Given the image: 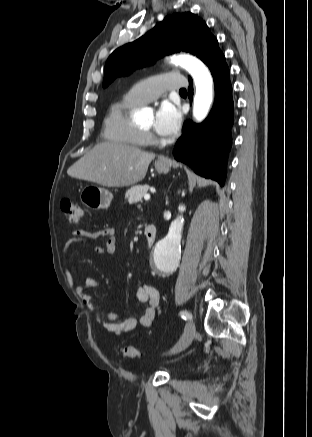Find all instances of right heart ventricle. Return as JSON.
<instances>
[{"mask_svg":"<svg viewBox=\"0 0 312 437\" xmlns=\"http://www.w3.org/2000/svg\"><path fill=\"white\" fill-rule=\"evenodd\" d=\"M141 106L126 98L111 105L104 120V136L115 144L142 147L147 139L131 121V110Z\"/></svg>","mask_w":312,"mask_h":437,"instance_id":"obj_1","label":"right heart ventricle"}]
</instances>
